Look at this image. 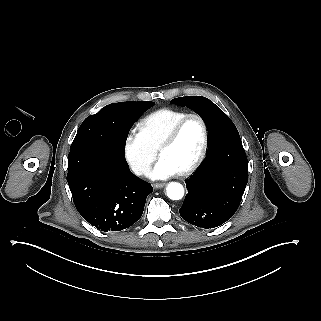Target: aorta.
Instances as JSON below:
<instances>
[{
  "instance_id": "762f6f07",
  "label": "aorta",
  "mask_w": 321,
  "mask_h": 321,
  "mask_svg": "<svg viewBox=\"0 0 321 321\" xmlns=\"http://www.w3.org/2000/svg\"><path fill=\"white\" fill-rule=\"evenodd\" d=\"M166 194L172 200H180L184 196V188L180 183L171 182L166 188Z\"/></svg>"
}]
</instances>
